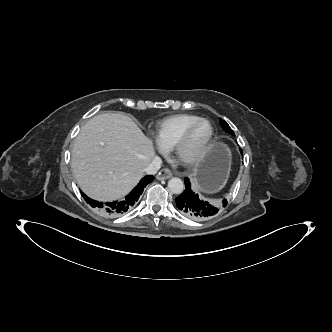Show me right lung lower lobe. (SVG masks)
Returning a JSON list of instances; mask_svg holds the SVG:
<instances>
[{"instance_id":"98d812e1","label":"right lung lower lobe","mask_w":332,"mask_h":332,"mask_svg":"<svg viewBox=\"0 0 332 332\" xmlns=\"http://www.w3.org/2000/svg\"><path fill=\"white\" fill-rule=\"evenodd\" d=\"M153 179L154 177L152 175L145 176L130 192V194L125 197L124 200L119 202L106 203L105 206L103 205V203L87 197L82 191L80 192L81 195L84 197V200L92 207L103 208V210L110 215H118L123 214L132 208L135 202L138 201L140 195L143 193L144 187H146L147 184L151 183Z\"/></svg>"}]
</instances>
